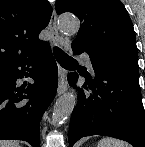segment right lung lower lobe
I'll list each match as a JSON object with an SVG mask.
<instances>
[{
	"label": "right lung lower lobe",
	"mask_w": 145,
	"mask_h": 147,
	"mask_svg": "<svg viewBox=\"0 0 145 147\" xmlns=\"http://www.w3.org/2000/svg\"><path fill=\"white\" fill-rule=\"evenodd\" d=\"M28 72L34 84L16 87V80ZM57 81L58 69L48 44L0 68V140H24L39 147L40 120L55 97Z\"/></svg>",
	"instance_id": "98d812e1"
}]
</instances>
